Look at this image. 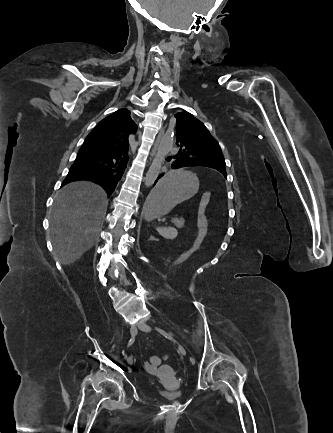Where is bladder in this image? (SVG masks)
I'll list each match as a JSON object with an SVG mask.
<instances>
[{"mask_svg": "<svg viewBox=\"0 0 333 433\" xmlns=\"http://www.w3.org/2000/svg\"><path fill=\"white\" fill-rule=\"evenodd\" d=\"M158 393H159V396L166 401L179 400L184 396V392L182 390L162 389V390H159Z\"/></svg>", "mask_w": 333, "mask_h": 433, "instance_id": "bladder-1", "label": "bladder"}]
</instances>
